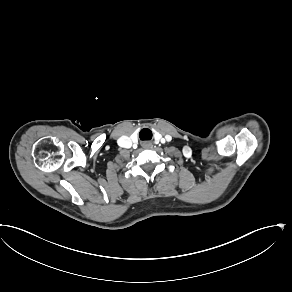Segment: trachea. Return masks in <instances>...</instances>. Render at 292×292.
<instances>
[{"label": "trachea", "instance_id": "1", "mask_svg": "<svg viewBox=\"0 0 292 292\" xmlns=\"http://www.w3.org/2000/svg\"><path fill=\"white\" fill-rule=\"evenodd\" d=\"M147 131H149V130H148V129H143V130L140 132V134H139L140 138H141V137H145V133H146ZM145 140H148V139H145Z\"/></svg>", "mask_w": 292, "mask_h": 292}]
</instances>
